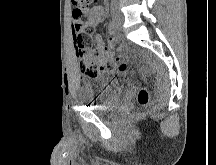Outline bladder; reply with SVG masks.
<instances>
[{"instance_id":"31cf9c89","label":"bladder","mask_w":216,"mask_h":165,"mask_svg":"<svg viewBox=\"0 0 216 165\" xmlns=\"http://www.w3.org/2000/svg\"><path fill=\"white\" fill-rule=\"evenodd\" d=\"M96 81H87L86 90L88 94L87 100L93 111H109L117 97H122L121 82L122 76H96Z\"/></svg>"}]
</instances>
